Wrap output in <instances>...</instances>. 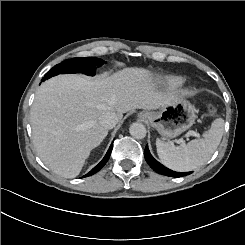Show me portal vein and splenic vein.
Segmentation results:
<instances>
[{"mask_svg": "<svg viewBox=\"0 0 245 245\" xmlns=\"http://www.w3.org/2000/svg\"><path fill=\"white\" fill-rule=\"evenodd\" d=\"M187 135H188V136H194V137H197V138H201V137L204 136V134L201 135L200 133H198V132H196V131H193V130H189V131L187 132Z\"/></svg>", "mask_w": 245, "mask_h": 245, "instance_id": "18ae733b", "label": "portal vein and splenic vein"}]
</instances>
